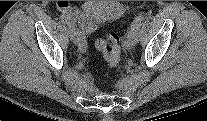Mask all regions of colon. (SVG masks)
I'll use <instances>...</instances> for the list:
<instances>
[{
	"label": "colon",
	"instance_id": "1",
	"mask_svg": "<svg viewBox=\"0 0 207 121\" xmlns=\"http://www.w3.org/2000/svg\"><path fill=\"white\" fill-rule=\"evenodd\" d=\"M96 47L102 52L103 59L108 66L114 67L121 60V49L118 35L112 33L105 39H98Z\"/></svg>",
	"mask_w": 207,
	"mask_h": 121
}]
</instances>
